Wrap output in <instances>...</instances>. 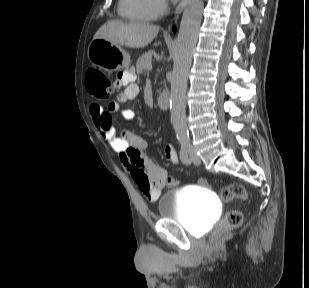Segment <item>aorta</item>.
Segmentation results:
<instances>
[{"instance_id": "obj_1", "label": "aorta", "mask_w": 309, "mask_h": 288, "mask_svg": "<svg viewBox=\"0 0 309 288\" xmlns=\"http://www.w3.org/2000/svg\"><path fill=\"white\" fill-rule=\"evenodd\" d=\"M204 8L203 0H189L180 23L175 45L174 65L171 79L170 113L178 140L188 137L185 114V96L192 54L198 40V33Z\"/></svg>"}]
</instances>
